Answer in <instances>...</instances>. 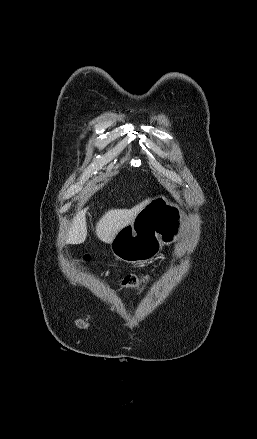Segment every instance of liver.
<instances>
[{
  "label": "liver",
  "instance_id": "obj_1",
  "mask_svg": "<svg viewBox=\"0 0 257 439\" xmlns=\"http://www.w3.org/2000/svg\"><path fill=\"white\" fill-rule=\"evenodd\" d=\"M150 202L146 199L131 209H111L102 216L96 224L97 237L105 242L111 243L115 235L128 224H131L137 214ZM87 236V225L85 209L80 211L73 219L68 233L67 243L81 244Z\"/></svg>",
  "mask_w": 257,
  "mask_h": 439
}]
</instances>
